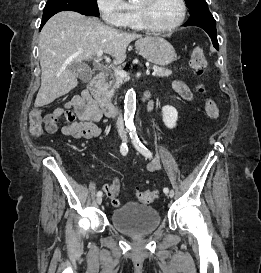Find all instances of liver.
Masks as SVG:
<instances>
[{
  "label": "liver",
  "instance_id": "6515ba94",
  "mask_svg": "<svg viewBox=\"0 0 261 273\" xmlns=\"http://www.w3.org/2000/svg\"><path fill=\"white\" fill-rule=\"evenodd\" d=\"M138 38L142 36L106 26L96 17L73 11L53 15L39 37L41 87L35 107L50 104L78 85L69 65L89 61L99 50L111 55L114 64H120L126 59L128 45Z\"/></svg>",
  "mask_w": 261,
  "mask_h": 273
}]
</instances>
